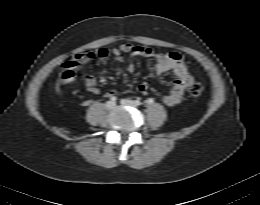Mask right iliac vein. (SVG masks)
<instances>
[{"instance_id":"63e3f726","label":"right iliac vein","mask_w":260,"mask_h":205,"mask_svg":"<svg viewBox=\"0 0 260 205\" xmlns=\"http://www.w3.org/2000/svg\"><path fill=\"white\" fill-rule=\"evenodd\" d=\"M105 107H106V109L110 110V109H112V108L115 107V103L112 102V101H108V102L105 104Z\"/></svg>"}]
</instances>
